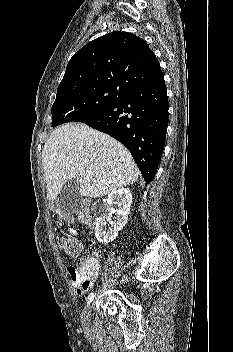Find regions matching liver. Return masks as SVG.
Returning <instances> with one entry per match:
<instances>
[{
    "instance_id": "6515ba94",
    "label": "liver",
    "mask_w": 233,
    "mask_h": 352,
    "mask_svg": "<svg viewBox=\"0 0 233 352\" xmlns=\"http://www.w3.org/2000/svg\"><path fill=\"white\" fill-rule=\"evenodd\" d=\"M42 164L49 201L56 200L71 179L78 182L81 196L98 198L135 183L139 176L126 147L83 123L56 128L44 144Z\"/></svg>"
}]
</instances>
